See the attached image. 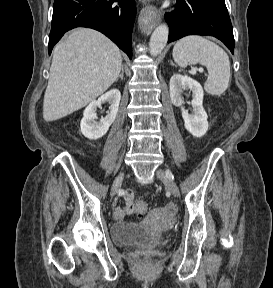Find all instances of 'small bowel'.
Returning a JSON list of instances; mask_svg holds the SVG:
<instances>
[{
  "mask_svg": "<svg viewBox=\"0 0 273 288\" xmlns=\"http://www.w3.org/2000/svg\"><path fill=\"white\" fill-rule=\"evenodd\" d=\"M125 207H116L114 209V217L117 220H122L127 214L133 212V202H134V193L131 190H128L125 195Z\"/></svg>",
  "mask_w": 273,
  "mask_h": 288,
  "instance_id": "obj_1",
  "label": "small bowel"
}]
</instances>
